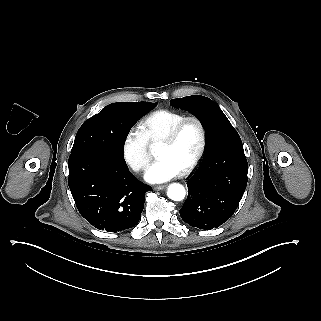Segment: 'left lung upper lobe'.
Listing matches in <instances>:
<instances>
[{"label":"left lung upper lobe","mask_w":321,"mask_h":321,"mask_svg":"<svg viewBox=\"0 0 321 321\" xmlns=\"http://www.w3.org/2000/svg\"><path fill=\"white\" fill-rule=\"evenodd\" d=\"M172 106L188 110L202 123L206 134L205 153L219 143L240 138L222 110L212 100L192 95L170 100Z\"/></svg>","instance_id":"obj_1"}]
</instances>
